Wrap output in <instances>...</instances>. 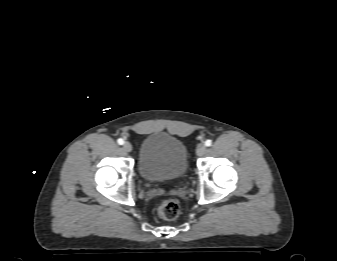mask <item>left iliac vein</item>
Listing matches in <instances>:
<instances>
[{"label": "left iliac vein", "instance_id": "4c4485c4", "mask_svg": "<svg viewBox=\"0 0 337 261\" xmlns=\"http://www.w3.org/2000/svg\"><path fill=\"white\" fill-rule=\"evenodd\" d=\"M206 152V146L204 144H199L196 148V154L198 156L204 155Z\"/></svg>", "mask_w": 337, "mask_h": 261}]
</instances>
